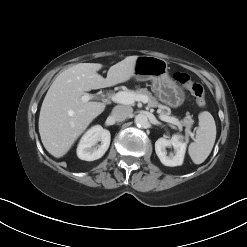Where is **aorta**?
<instances>
[{"instance_id": "762f6f07", "label": "aorta", "mask_w": 247, "mask_h": 247, "mask_svg": "<svg viewBox=\"0 0 247 247\" xmlns=\"http://www.w3.org/2000/svg\"><path fill=\"white\" fill-rule=\"evenodd\" d=\"M134 122L138 127L146 128L148 125V118L144 114H138L136 115Z\"/></svg>"}]
</instances>
